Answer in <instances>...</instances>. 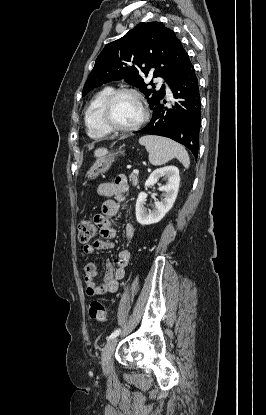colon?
Segmentation results:
<instances>
[{
	"mask_svg": "<svg viewBox=\"0 0 266 415\" xmlns=\"http://www.w3.org/2000/svg\"><path fill=\"white\" fill-rule=\"evenodd\" d=\"M96 234L97 225L94 222L88 219L80 220L78 224V240L81 244H87ZM89 315L94 321L102 323L108 319V310L102 302L94 300L89 305Z\"/></svg>",
	"mask_w": 266,
	"mask_h": 415,
	"instance_id": "obj_1",
	"label": "colon"
}]
</instances>
